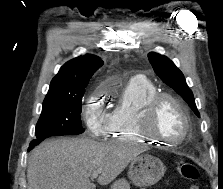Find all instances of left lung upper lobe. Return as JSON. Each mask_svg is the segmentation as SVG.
<instances>
[{"instance_id":"left-lung-upper-lobe-1","label":"left lung upper lobe","mask_w":223,"mask_h":189,"mask_svg":"<svg viewBox=\"0 0 223 189\" xmlns=\"http://www.w3.org/2000/svg\"><path fill=\"white\" fill-rule=\"evenodd\" d=\"M148 58L154 72L160 79L174 89L199 117L200 115L195 104L193 93L187 86L182 72L166 56L151 52L148 54Z\"/></svg>"}]
</instances>
